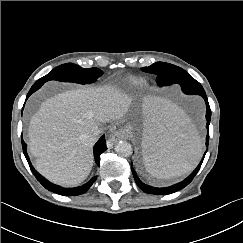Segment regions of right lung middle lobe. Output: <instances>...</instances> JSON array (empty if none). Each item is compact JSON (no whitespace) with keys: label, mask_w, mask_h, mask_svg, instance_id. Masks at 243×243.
I'll return each mask as SVG.
<instances>
[{"label":"right lung middle lobe","mask_w":243,"mask_h":243,"mask_svg":"<svg viewBox=\"0 0 243 243\" xmlns=\"http://www.w3.org/2000/svg\"><path fill=\"white\" fill-rule=\"evenodd\" d=\"M101 75L102 71L98 68L84 69L76 64L67 63L54 68L49 74L37 80L36 83L44 84L49 80H58L86 84L95 82Z\"/></svg>","instance_id":"obj_1"}]
</instances>
